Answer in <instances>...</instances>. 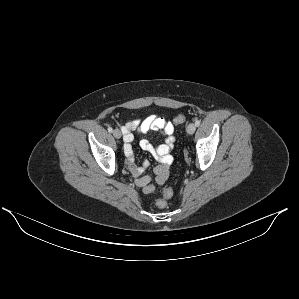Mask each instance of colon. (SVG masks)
<instances>
[{"label":"colon","instance_id":"5ec220e1","mask_svg":"<svg viewBox=\"0 0 299 299\" xmlns=\"http://www.w3.org/2000/svg\"><path fill=\"white\" fill-rule=\"evenodd\" d=\"M185 119L186 118L184 115H179L174 119V123L176 125L182 124L183 122H185ZM172 194L173 191L170 187H164L162 189V198L158 199L157 206L161 209L167 208L168 206L167 200L171 198Z\"/></svg>","mask_w":299,"mask_h":299}]
</instances>
